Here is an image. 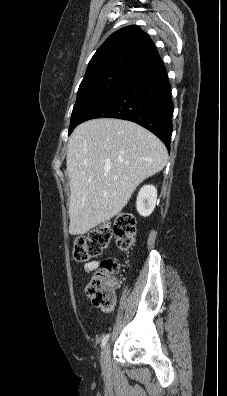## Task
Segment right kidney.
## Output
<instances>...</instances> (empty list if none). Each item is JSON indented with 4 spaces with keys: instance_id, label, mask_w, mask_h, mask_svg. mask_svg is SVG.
Segmentation results:
<instances>
[{
    "instance_id": "right-kidney-1",
    "label": "right kidney",
    "mask_w": 227,
    "mask_h": 396,
    "mask_svg": "<svg viewBox=\"0 0 227 396\" xmlns=\"http://www.w3.org/2000/svg\"><path fill=\"white\" fill-rule=\"evenodd\" d=\"M157 189L153 185L143 186L137 196L136 208L141 216H149L156 205Z\"/></svg>"
}]
</instances>
